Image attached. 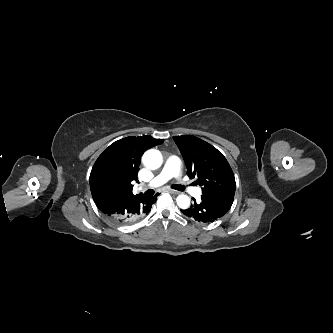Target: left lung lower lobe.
<instances>
[{"mask_svg":"<svg viewBox=\"0 0 333 333\" xmlns=\"http://www.w3.org/2000/svg\"><path fill=\"white\" fill-rule=\"evenodd\" d=\"M200 202H194L190 208L181 210L183 214L199 222H213L224 216L232 204L202 196Z\"/></svg>","mask_w":333,"mask_h":333,"instance_id":"1","label":"left lung lower lobe"}]
</instances>
